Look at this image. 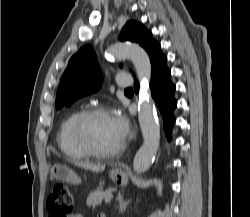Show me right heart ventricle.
<instances>
[{"instance_id":"1","label":"right heart ventricle","mask_w":250,"mask_h":217,"mask_svg":"<svg viewBox=\"0 0 250 217\" xmlns=\"http://www.w3.org/2000/svg\"><path fill=\"white\" fill-rule=\"evenodd\" d=\"M82 110L72 111L61 122L57 134V143L61 152L72 159H85L89 155L78 145L74 137V125Z\"/></svg>"}]
</instances>
